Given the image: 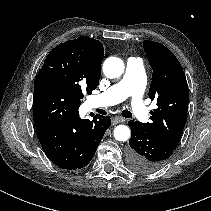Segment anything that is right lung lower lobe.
I'll list each match as a JSON object with an SVG mask.
<instances>
[{"label": "right lung lower lobe", "mask_w": 211, "mask_h": 211, "mask_svg": "<svg viewBox=\"0 0 211 211\" xmlns=\"http://www.w3.org/2000/svg\"><path fill=\"white\" fill-rule=\"evenodd\" d=\"M34 123L47 157L58 167L74 170L88 165L111 125L110 117H79L80 99L45 78L34 82Z\"/></svg>", "instance_id": "right-lung-lower-lobe-1"}]
</instances>
